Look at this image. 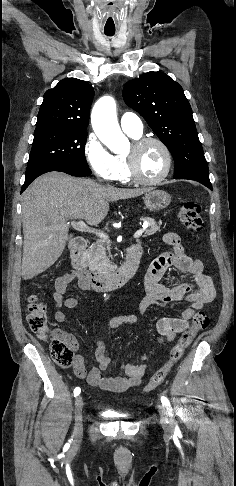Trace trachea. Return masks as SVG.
<instances>
[{
    "mask_svg": "<svg viewBox=\"0 0 236 486\" xmlns=\"http://www.w3.org/2000/svg\"><path fill=\"white\" fill-rule=\"evenodd\" d=\"M105 34L107 36H113L115 34V31H105Z\"/></svg>",
    "mask_w": 236,
    "mask_h": 486,
    "instance_id": "obj_1",
    "label": "trachea"
}]
</instances>
